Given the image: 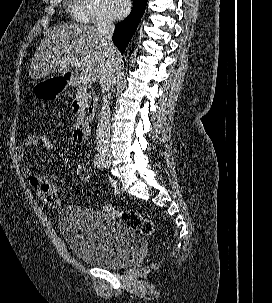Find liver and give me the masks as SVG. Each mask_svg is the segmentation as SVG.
<instances>
[{"instance_id":"obj_1","label":"liver","mask_w":272,"mask_h":303,"mask_svg":"<svg viewBox=\"0 0 272 303\" xmlns=\"http://www.w3.org/2000/svg\"><path fill=\"white\" fill-rule=\"evenodd\" d=\"M113 55L117 53L112 47ZM76 59L75 65L68 60ZM64 62V63H63ZM105 63V48L95 26L85 24L55 25L45 33L31 61L29 76L40 79L56 74L64 76L75 66L81 74L96 82Z\"/></svg>"}]
</instances>
